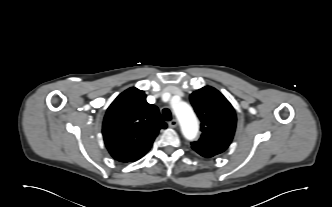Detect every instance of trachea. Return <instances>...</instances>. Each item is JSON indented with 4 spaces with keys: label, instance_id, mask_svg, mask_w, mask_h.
<instances>
[{
    "label": "trachea",
    "instance_id": "obj_1",
    "mask_svg": "<svg viewBox=\"0 0 332 207\" xmlns=\"http://www.w3.org/2000/svg\"><path fill=\"white\" fill-rule=\"evenodd\" d=\"M162 113L166 121H170L172 119L171 111L169 109L167 108L163 109Z\"/></svg>",
    "mask_w": 332,
    "mask_h": 207
}]
</instances>
